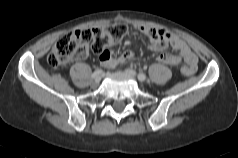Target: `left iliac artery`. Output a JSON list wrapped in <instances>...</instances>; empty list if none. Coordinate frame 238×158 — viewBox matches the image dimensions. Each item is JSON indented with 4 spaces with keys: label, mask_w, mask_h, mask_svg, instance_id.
Masks as SVG:
<instances>
[{
    "label": "left iliac artery",
    "mask_w": 238,
    "mask_h": 158,
    "mask_svg": "<svg viewBox=\"0 0 238 158\" xmlns=\"http://www.w3.org/2000/svg\"><path fill=\"white\" fill-rule=\"evenodd\" d=\"M138 79H139L140 81H144V80L146 79V75H145L144 73H139V74H138Z\"/></svg>",
    "instance_id": "obj_1"
}]
</instances>
